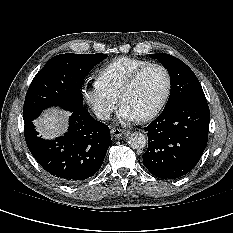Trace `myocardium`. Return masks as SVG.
<instances>
[{
	"mask_svg": "<svg viewBox=\"0 0 233 233\" xmlns=\"http://www.w3.org/2000/svg\"><path fill=\"white\" fill-rule=\"evenodd\" d=\"M150 68L161 69L166 76L167 84H166L165 93H164L162 99L160 100V102L150 112H148L147 114H145L139 118V120L143 121V122L149 121V120L155 118L163 110V108L165 107V105L167 104V102L170 98V95L172 92L173 80H172V76H171V73L168 70V68L160 63H148V64L140 67L130 76V78L127 80V82L125 83V85L123 86V88L119 94V101L121 104H123L124 97L135 87V85L137 84V82L140 79V77L142 76V74Z\"/></svg>",
	"mask_w": 233,
	"mask_h": 233,
	"instance_id": "f54148a6",
	"label": "myocardium"
}]
</instances>
